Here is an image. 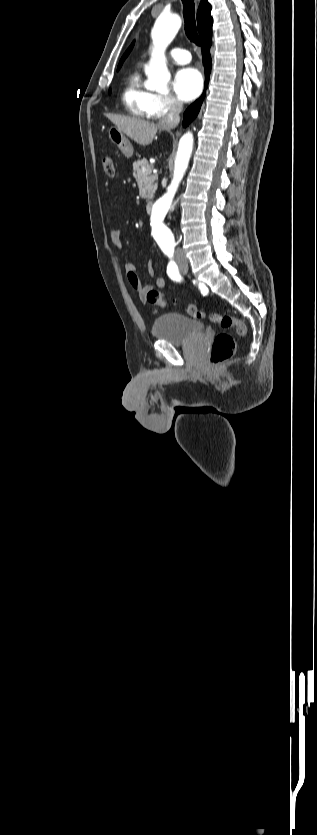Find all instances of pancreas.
Returning <instances> with one entry per match:
<instances>
[{"label":"pancreas","mask_w":317,"mask_h":835,"mask_svg":"<svg viewBox=\"0 0 317 835\" xmlns=\"http://www.w3.org/2000/svg\"><path fill=\"white\" fill-rule=\"evenodd\" d=\"M145 167L148 169L147 172H143L142 168ZM153 166L148 163V161L143 158L142 160H137L133 163V176L137 181L139 187V194L144 199H151L154 196V193L157 189L158 184L157 176L151 175Z\"/></svg>","instance_id":"cf45deb5"}]
</instances>
